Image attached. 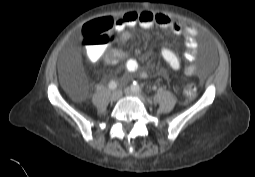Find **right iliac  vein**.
I'll return each mask as SVG.
<instances>
[{"instance_id":"right-iliac-vein-1","label":"right iliac vein","mask_w":255,"mask_h":177,"mask_svg":"<svg viewBox=\"0 0 255 177\" xmlns=\"http://www.w3.org/2000/svg\"><path fill=\"white\" fill-rule=\"evenodd\" d=\"M121 96H122V92L120 90H116L112 93L111 99L112 101H117L120 99Z\"/></svg>"}]
</instances>
